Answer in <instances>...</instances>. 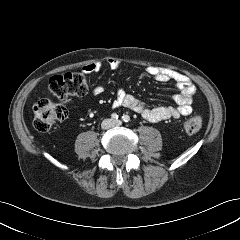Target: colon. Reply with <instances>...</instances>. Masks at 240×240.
Here are the masks:
<instances>
[{
  "instance_id": "1",
  "label": "colon",
  "mask_w": 240,
  "mask_h": 240,
  "mask_svg": "<svg viewBox=\"0 0 240 240\" xmlns=\"http://www.w3.org/2000/svg\"><path fill=\"white\" fill-rule=\"evenodd\" d=\"M48 90L56 100L43 98L33 108V126L39 132H46L64 121L68 116V98L85 95L88 84L83 74L67 72L51 77ZM201 127L202 119L199 116H191L184 121V131L188 134L198 132Z\"/></svg>"
}]
</instances>
